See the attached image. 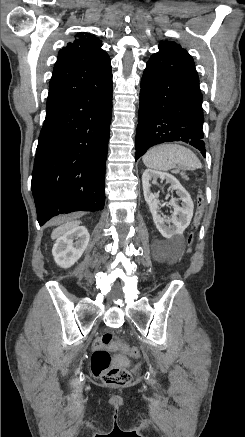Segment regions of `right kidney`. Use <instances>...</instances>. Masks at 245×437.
<instances>
[{"mask_svg": "<svg viewBox=\"0 0 245 437\" xmlns=\"http://www.w3.org/2000/svg\"><path fill=\"white\" fill-rule=\"evenodd\" d=\"M89 232L84 226H77L60 236L52 249L57 265L71 267L82 256L89 242Z\"/></svg>", "mask_w": 245, "mask_h": 437, "instance_id": "ca27d5eb", "label": "right kidney"}]
</instances>
